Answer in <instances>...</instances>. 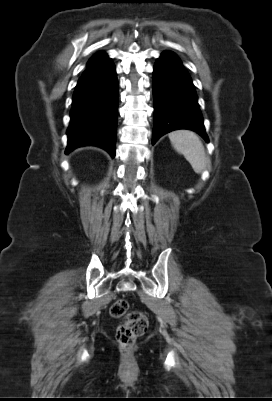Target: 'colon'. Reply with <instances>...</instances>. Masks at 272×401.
Masks as SVG:
<instances>
[{"instance_id": "1", "label": "colon", "mask_w": 272, "mask_h": 401, "mask_svg": "<svg viewBox=\"0 0 272 401\" xmlns=\"http://www.w3.org/2000/svg\"><path fill=\"white\" fill-rule=\"evenodd\" d=\"M110 314L115 318L124 317V322L117 329V341L121 348L128 352L135 341L146 332L148 319L141 311H129L128 301L124 298H119L112 303Z\"/></svg>"}]
</instances>
